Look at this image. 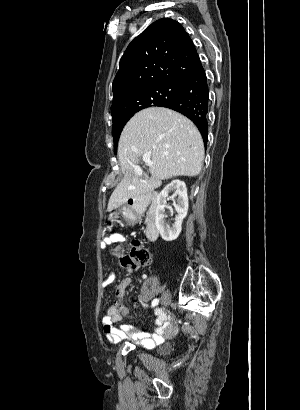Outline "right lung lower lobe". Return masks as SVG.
I'll list each match as a JSON object with an SVG mask.
<instances>
[{
    "label": "right lung lower lobe",
    "instance_id": "1",
    "mask_svg": "<svg viewBox=\"0 0 300 410\" xmlns=\"http://www.w3.org/2000/svg\"><path fill=\"white\" fill-rule=\"evenodd\" d=\"M209 105V88L202 65L186 80L180 91L162 107L182 113L199 129L204 144L207 143V113Z\"/></svg>",
    "mask_w": 300,
    "mask_h": 410
}]
</instances>
